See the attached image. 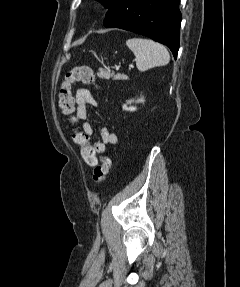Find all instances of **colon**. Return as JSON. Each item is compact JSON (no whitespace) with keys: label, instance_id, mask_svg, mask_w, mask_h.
I'll return each instance as SVG.
<instances>
[{"label":"colon","instance_id":"1","mask_svg":"<svg viewBox=\"0 0 240 287\" xmlns=\"http://www.w3.org/2000/svg\"><path fill=\"white\" fill-rule=\"evenodd\" d=\"M77 82L93 84L98 88V85L95 84L92 69L87 66H76L66 73L64 81L60 86L58 93L59 107L64 114L70 115V122L74 125L72 129L73 140L79 146L83 160L88 165L94 167L93 179L96 182L103 183L111 169V159L104 154L98 155L94 145L90 142V136L76 126L78 120L75 115H72L75 103L71 87L72 84Z\"/></svg>","mask_w":240,"mask_h":287}]
</instances>
